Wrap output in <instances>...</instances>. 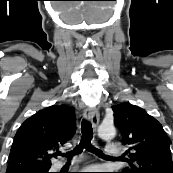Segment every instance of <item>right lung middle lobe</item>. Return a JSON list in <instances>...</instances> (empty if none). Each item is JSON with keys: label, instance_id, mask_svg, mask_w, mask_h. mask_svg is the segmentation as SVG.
I'll return each instance as SVG.
<instances>
[{"label": "right lung middle lobe", "instance_id": "1", "mask_svg": "<svg viewBox=\"0 0 173 173\" xmlns=\"http://www.w3.org/2000/svg\"><path fill=\"white\" fill-rule=\"evenodd\" d=\"M48 170L49 169H42V171H45V173H49Z\"/></svg>", "mask_w": 173, "mask_h": 173}]
</instances>
